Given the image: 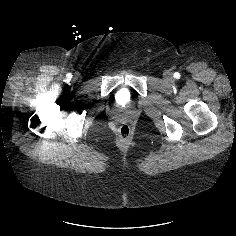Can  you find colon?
Instances as JSON below:
<instances>
[{"label": "colon", "mask_w": 236, "mask_h": 236, "mask_svg": "<svg viewBox=\"0 0 236 236\" xmlns=\"http://www.w3.org/2000/svg\"><path fill=\"white\" fill-rule=\"evenodd\" d=\"M131 133V127L126 123L121 124L118 128L119 137L124 142L129 141L131 138Z\"/></svg>", "instance_id": "colon-1"}]
</instances>
